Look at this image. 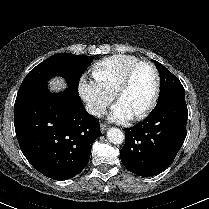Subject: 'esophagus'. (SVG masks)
<instances>
[{
    "label": "esophagus",
    "instance_id": "34e87169",
    "mask_svg": "<svg viewBox=\"0 0 209 209\" xmlns=\"http://www.w3.org/2000/svg\"><path fill=\"white\" fill-rule=\"evenodd\" d=\"M108 129V126L106 124L101 123L100 124V130L102 133H104Z\"/></svg>",
    "mask_w": 209,
    "mask_h": 209
}]
</instances>
